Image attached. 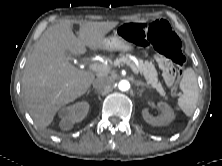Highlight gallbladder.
I'll use <instances>...</instances> for the list:
<instances>
[{
	"instance_id": "gallbladder-1",
	"label": "gallbladder",
	"mask_w": 222,
	"mask_h": 166,
	"mask_svg": "<svg viewBox=\"0 0 222 166\" xmlns=\"http://www.w3.org/2000/svg\"><path fill=\"white\" fill-rule=\"evenodd\" d=\"M67 57L71 60L72 59V54L70 52H66Z\"/></svg>"
}]
</instances>
